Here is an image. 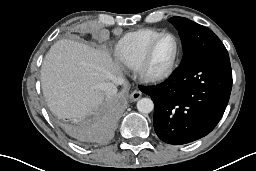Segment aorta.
<instances>
[{
    "label": "aorta",
    "instance_id": "obj_1",
    "mask_svg": "<svg viewBox=\"0 0 256 171\" xmlns=\"http://www.w3.org/2000/svg\"><path fill=\"white\" fill-rule=\"evenodd\" d=\"M137 109L140 113L148 114L154 109V103L150 98H142L137 102Z\"/></svg>",
    "mask_w": 256,
    "mask_h": 171
}]
</instances>
